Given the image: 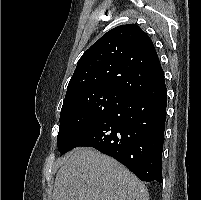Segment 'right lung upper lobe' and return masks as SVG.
Returning <instances> with one entry per match:
<instances>
[{"label":"right lung upper lobe","mask_w":201,"mask_h":200,"mask_svg":"<svg viewBox=\"0 0 201 200\" xmlns=\"http://www.w3.org/2000/svg\"><path fill=\"white\" fill-rule=\"evenodd\" d=\"M164 79L149 36L135 24L118 26L104 34L79 59L65 99L94 90L131 96Z\"/></svg>","instance_id":"obj_1"}]
</instances>
